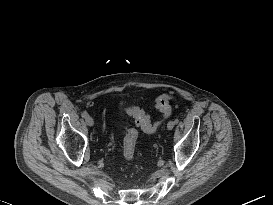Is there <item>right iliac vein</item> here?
Here are the masks:
<instances>
[{"label": "right iliac vein", "mask_w": 273, "mask_h": 205, "mask_svg": "<svg viewBox=\"0 0 273 205\" xmlns=\"http://www.w3.org/2000/svg\"><path fill=\"white\" fill-rule=\"evenodd\" d=\"M85 122L89 127H92L94 125V120H93V118L91 116H87L85 118Z\"/></svg>", "instance_id": "right-iliac-vein-1"}]
</instances>
